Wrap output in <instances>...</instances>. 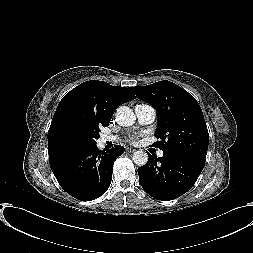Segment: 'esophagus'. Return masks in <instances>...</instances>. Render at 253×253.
Returning a JSON list of instances; mask_svg holds the SVG:
<instances>
[{
    "label": "esophagus",
    "mask_w": 253,
    "mask_h": 253,
    "mask_svg": "<svg viewBox=\"0 0 253 253\" xmlns=\"http://www.w3.org/2000/svg\"><path fill=\"white\" fill-rule=\"evenodd\" d=\"M126 151H128L130 153H133L134 151H136V149H134V148H127Z\"/></svg>",
    "instance_id": "1"
}]
</instances>
